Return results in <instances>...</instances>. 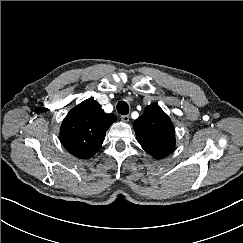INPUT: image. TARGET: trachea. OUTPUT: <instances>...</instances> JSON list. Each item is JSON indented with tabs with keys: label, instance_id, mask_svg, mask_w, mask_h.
Listing matches in <instances>:
<instances>
[{
	"label": "trachea",
	"instance_id": "1",
	"mask_svg": "<svg viewBox=\"0 0 243 243\" xmlns=\"http://www.w3.org/2000/svg\"><path fill=\"white\" fill-rule=\"evenodd\" d=\"M116 109L121 115H127L129 113V106L125 101H119Z\"/></svg>",
	"mask_w": 243,
	"mask_h": 243
}]
</instances>
